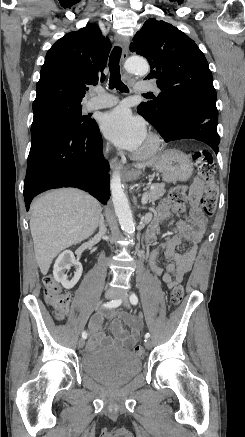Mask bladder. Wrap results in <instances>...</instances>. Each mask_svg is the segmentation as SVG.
Listing matches in <instances>:
<instances>
[{"label":"bladder","instance_id":"obj_1","mask_svg":"<svg viewBox=\"0 0 245 437\" xmlns=\"http://www.w3.org/2000/svg\"><path fill=\"white\" fill-rule=\"evenodd\" d=\"M81 367L86 375L99 382L121 385L141 371L142 362L127 349L97 348L83 354Z\"/></svg>","mask_w":245,"mask_h":437}]
</instances>
